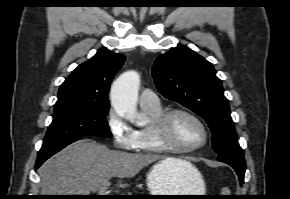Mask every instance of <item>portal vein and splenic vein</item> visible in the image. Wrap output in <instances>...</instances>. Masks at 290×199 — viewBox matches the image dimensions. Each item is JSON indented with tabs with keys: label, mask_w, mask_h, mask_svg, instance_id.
<instances>
[{
	"label": "portal vein and splenic vein",
	"mask_w": 290,
	"mask_h": 199,
	"mask_svg": "<svg viewBox=\"0 0 290 199\" xmlns=\"http://www.w3.org/2000/svg\"><path fill=\"white\" fill-rule=\"evenodd\" d=\"M109 182L103 183L99 188V194L100 195H107V190L109 188Z\"/></svg>",
	"instance_id": "18ae733b"
}]
</instances>
